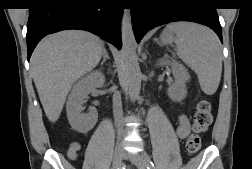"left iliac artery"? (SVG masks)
Returning <instances> with one entry per match:
<instances>
[{
    "label": "left iliac artery",
    "mask_w": 252,
    "mask_h": 169,
    "mask_svg": "<svg viewBox=\"0 0 252 169\" xmlns=\"http://www.w3.org/2000/svg\"><path fill=\"white\" fill-rule=\"evenodd\" d=\"M142 157L144 158V161L147 164V169H155L153 162L151 161L150 157L146 152L142 154Z\"/></svg>",
    "instance_id": "left-iliac-artery-1"
}]
</instances>
